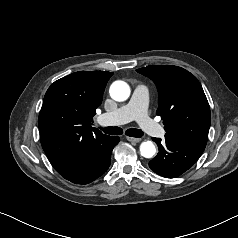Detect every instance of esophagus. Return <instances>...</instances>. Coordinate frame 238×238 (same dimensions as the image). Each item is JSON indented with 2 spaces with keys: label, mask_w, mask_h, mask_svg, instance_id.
Listing matches in <instances>:
<instances>
[{
  "label": "esophagus",
  "mask_w": 238,
  "mask_h": 238,
  "mask_svg": "<svg viewBox=\"0 0 238 238\" xmlns=\"http://www.w3.org/2000/svg\"><path fill=\"white\" fill-rule=\"evenodd\" d=\"M126 139L130 142H135V143H138L141 141V138H135V137H130V136H127Z\"/></svg>",
  "instance_id": "obj_1"
}]
</instances>
